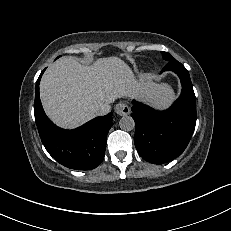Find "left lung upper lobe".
Instances as JSON below:
<instances>
[{
	"instance_id": "left-lung-upper-lobe-1",
	"label": "left lung upper lobe",
	"mask_w": 231,
	"mask_h": 231,
	"mask_svg": "<svg viewBox=\"0 0 231 231\" xmlns=\"http://www.w3.org/2000/svg\"><path fill=\"white\" fill-rule=\"evenodd\" d=\"M161 53H162V55H163V58H164L167 62L176 60L171 54H169V53H167V52H161Z\"/></svg>"
}]
</instances>
